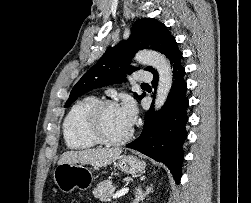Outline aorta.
I'll list each match as a JSON object with an SVG mask.
<instances>
[{
    "label": "aorta",
    "mask_w": 251,
    "mask_h": 203,
    "mask_svg": "<svg viewBox=\"0 0 251 203\" xmlns=\"http://www.w3.org/2000/svg\"><path fill=\"white\" fill-rule=\"evenodd\" d=\"M135 60L141 64L152 66L158 72L159 82L156 92L155 110H159L164 105L173 82L170 62L165 55L152 50L139 51L135 56Z\"/></svg>",
    "instance_id": "obj_1"
}]
</instances>
